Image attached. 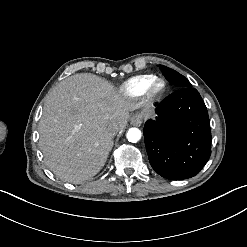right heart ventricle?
I'll use <instances>...</instances> for the list:
<instances>
[{
	"label": "right heart ventricle",
	"instance_id": "e07e8e85",
	"mask_svg": "<svg viewBox=\"0 0 247 247\" xmlns=\"http://www.w3.org/2000/svg\"><path fill=\"white\" fill-rule=\"evenodd\" d=\"M155 78H157L155 75H139L126 80L119 87L121 97L125 99L141 98L146 84Z\"/></svg>",
	"mask_w": 247,
	"mask_h": 247
}]
</instances>
